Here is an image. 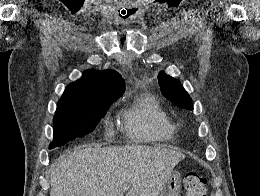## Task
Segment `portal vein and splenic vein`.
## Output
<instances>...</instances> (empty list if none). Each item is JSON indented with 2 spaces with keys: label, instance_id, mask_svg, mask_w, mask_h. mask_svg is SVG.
I'll return each instance as SVG.
<instances>
[{
  "label": "portal vein and splenic vein",
  "instance_id": "1",
  "mask_svg": "<svg viewBox=\"0 0 260 196\" xmlns=\"http://www.w3.org/2000/svg\"><path fill=\"white\" fill-rule=\"evenodd\" d=\"M121 190H129V186H126V184H125V186H123V188H121Z\"/></svg>",
  "mask_w": 260,
  "mask_h": 196
}]
</instances>
